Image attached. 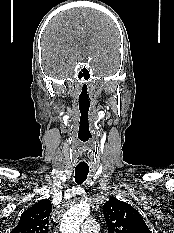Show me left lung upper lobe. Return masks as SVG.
I'll use <instances>...</instances> for the list:
<instances>
[{"instance_id":"1","label":"left lung upper lobe","mask_w":174,"mask_h":233,"mask_svg":"<svg viewBox=\"0 0 174 233\" xmlns=\"http://www.w3.org/2000/svg\"><path fill=\"white\" fill-rule=\"evenodd\" d=\"M103 214L108 233H151L139 212L126 202L111 198Z\"/></svg>"}]
</instances>
